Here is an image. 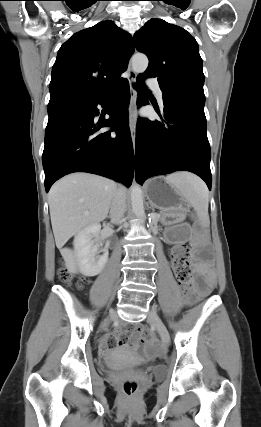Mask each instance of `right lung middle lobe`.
Segmentation results:
<instances>
[{"mask_svg": "<svg viewBox=\"0 0 261 427\" xmlns=\"http://www.w3.org/2000/svg\"><path fill=\"white\" fill-rule=\"evenodd\" d=\"M72 107H75V106H72ZM72 107L61 108V109L52 110V111L48 110V113L50 114V113H53V112H57V111L64 110V109H67V108H72Z\"/></svg>", "mask_w": 261, "mask_h": 427, "instance_id": "obj_1", "label": "right lung middle lobe"}]
</instances>
